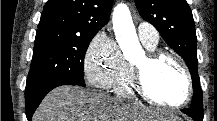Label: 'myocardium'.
Here are the masks:
<instances>
[{
    "label": "myocardium",
    "instance_id": "myocardium-1",
    "mask_svg": "<svg viewBox=\"0 0 217 121\" xmlns=\"http://www.w3.org/2000/svg\"><path fill=\"white\" fill-rule=\"evenodd\" d=\"M164 59H169L173 61L183 72L186 81V92L184 97L179 102L173 104L164 103L160 99L151 95L146 83L147 69L159 64ZM132 73L133 82L137 93L145 100L152 102L156 105L170 109H178L185 106L193 96V81L191 73L182 58L174 53L163 50L152 51L144 57V60L141 64H134L132 66Z\"/></svg>",
    "mask_w": 217,
    "mask_h": 121
}]
</instances>
